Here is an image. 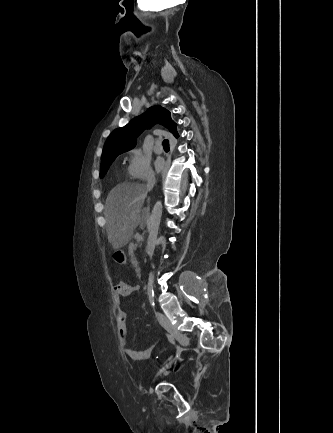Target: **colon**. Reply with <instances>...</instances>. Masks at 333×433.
Wrapping results in <instances>:
<instances>
[{
    "label": "colon",
    "instance_id": "5ec220e1",
    "mask_svg": "<svg viewBox=\"0 0 333 433\" xmlns=\"http://www.w3.org/2000/svg\"><path fill=\"white\" fill-rule=\"evenodd\" d=\"M114 263L115 265H124L127 266V263H125V258L127 257V250L126 249H115L114 250Z\"/></svg>",
    "mask_w": 333,
    "mask_h": 433
}]
</instances>
